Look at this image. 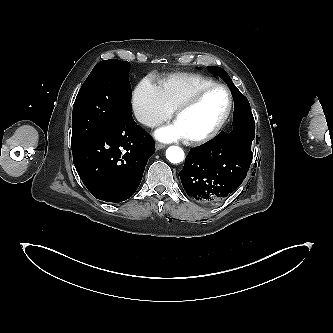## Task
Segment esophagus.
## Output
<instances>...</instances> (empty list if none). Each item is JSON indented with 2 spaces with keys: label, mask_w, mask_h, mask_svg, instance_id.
Segmentation results:
<instances>
[{
  "label": "esophagus",
  "mask_w": 333,
  "mask_h": 333,
  "mask_svg": "<svg viewBox=\"0 0 333 333\" xmlns=\"http://www.w3.org/2000/svg\"><path fill=\"white\" fill-rule=\"evenodd\" d=\"M156 150H160V149H163L165 148L166 146L164 144H161V143H156Z\"/></svg>",
  "instance_id": "esophagus-1"
}]
</instances>
